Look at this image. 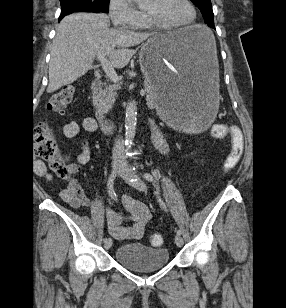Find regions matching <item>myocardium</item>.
Returning <instances> with one entry per match:
<instances>
[{
  "instance_id": "1",
  "label": "myocardium",
  "mask_w": 286,
  "mask_h": 308,
  "mask_svg": "<svg viewBox=\"0 0 286 308\" xmlns=\"http://www.w3.org/2000/svg\"><path fill=\"white\" fill-rule=\"evenodd\" d=\"M185 2L188 4V6L190 7V9L193 13L192 19L187 23H183V24L166 23V22H163V21L151 16L150 14H148L146 12H145V19L147 20V22L151 26H153L154 28H157V29L174 30V29H184V28L191 27L196 23L197 10H196L194 3L191 0H185Z\"/></svg>"
}]
</instances>
